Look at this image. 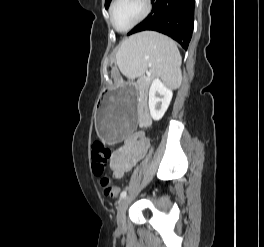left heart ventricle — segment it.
Instances as JSON below:
<instances>
[{
  "label": "left heart ventricle",
  "mask_w": 264,
  "mask_h": 247,
  "mask_svg": "<svg viewBox=\"0 0 264 247\" xmlns=\"http://www.w3.org/2000/svg\"><path fill=\"white\" fill-rule=\"evenodd\" d=\"M143 10V0H119L114 8V23L118 28L124 29L135 22Z\"/></svg>",
  "instance_id": "1"
}]
</instances>
